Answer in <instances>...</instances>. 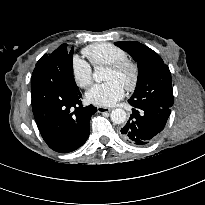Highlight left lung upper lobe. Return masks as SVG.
Here are the masks:
<instances>
[{
  "label": "left lung upper lobe",
  "mask_w": 205,
  "mask_h": 205,
  "mask_svg": "<svg viewBox=\"0 0 205 205\" xmlns=\"http://www.w3.org/2000/svg\"><path fill=\"white\" fill-rule=\"evenodd\" d=\"M138 63V80L132 106L168 107L173 104L171 73L161 57L149 47L136 41L115 42Z\"/></svg>",
  "instance_id": "obj_1"
}]
</instances>
